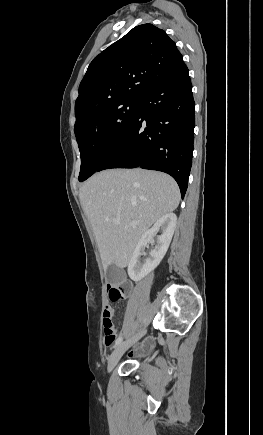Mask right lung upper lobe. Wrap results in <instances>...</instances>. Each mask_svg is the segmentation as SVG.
Instances as JSON below:
<instances>
[{"instance_id":"right-lung-upper-lobe-1","label":"right lung upper lobe","mask_w":263,"mask_h":435,"mask_svg":"<svg viewBox=\"0 0 263 435\" xmlns=\"http://www.w3.org/2000/svg\"><path fill=\"white\" fill-rule=\"evenodd\" d=\"M183 64L164 30L152 24L136 26L90 63L75 103V128L111 103L142 99Z\"/></svg>"}]
</instances>
